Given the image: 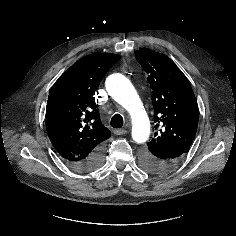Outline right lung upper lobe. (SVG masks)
I'll return each instance as SVG.
<instances>
[{"label": "right lung upper lobe", "instance_id": "1", "mask_svg": "<svg viewBox=\"0 0 236 236\" xmlns=\"http://www.w3.org/2000/svg\"><path fill=\"white\" fill-rule=\"evenodd\" d=\"M120 59L110 53L81 58L55 82L46 107V130L60 157L81 160L111 136L101 124L95 91Z\"/></svg>", "mask_w": 236, "mask_h": 236}]
</instances>
